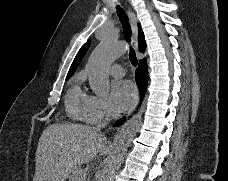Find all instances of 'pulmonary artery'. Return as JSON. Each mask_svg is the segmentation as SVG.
Returning a JSON list of instances; mask_svg holds the SVG:
<instances>
[{
    "label": "pulmonary artery",
    "instance_id": "1",
    "mask_svg": "<svg viewBox=\"0 0 228 181\" xmlns=\"http://www.w3.org/2000/svg\"><path fill=\"white\" fill-rule=\"evenodd\" d=\"M111 70L114 72V73H119V74H122L123 73V68L120 67V65H111ZM123 77V76H122Z\"/></svg>",
    "mask_w": 228,
    "mask_h": 181
}]
</instances>
